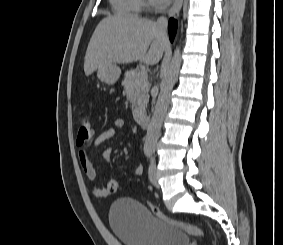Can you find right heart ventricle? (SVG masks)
<instances>
[{
	"mask_svg": "<svg viewBox=\"0 0 283 245\" xmlns=\"http://www.w3.org/2000/svg\"><path fill=\"white\" fill-rule=\"evenodd\" d=\"M110 3L115 12L132 16L138 15L143 6V0H110Z\"/></svg>",
	"mask_w": 283,
	"mask_h": 245,
	"instance_id": "obj_1",
	"label": "right heart ventricle"
}]
</instances>
